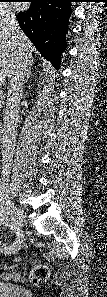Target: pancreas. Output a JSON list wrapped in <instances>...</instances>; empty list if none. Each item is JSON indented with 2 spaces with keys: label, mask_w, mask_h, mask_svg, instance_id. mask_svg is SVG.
<instances>
[{
  "label": "pancreas",
  "mask_w": 107,
  "mask_h": 297,
  "mask_svg": "<svg viewBox=\"0 0 107 297\" xmlns=\"http://www.w3.org/2000/svg\"><path fill=\"white\" fill-rule=\"evenodd\" d=\"M2 100H3V98H1V103L3 102Z\"/></svg>",
  "instance_id": "obj_1"
}]
</instances>
